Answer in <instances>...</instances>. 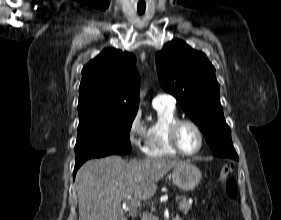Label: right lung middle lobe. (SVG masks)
<instances>
[{"label":"right lung middle lobe","mask_w":281,"mask_h":220,"mask_svg":"<svg viewBox=\"0 0 281 220\" xmlns=\"http://www.w3.org/2000/svg\"><path fill=\"white\" fill-rule=\"evenodd\" d=\"M136 114L96 115L79 119L76 163L131 152L130 129Z\"/></svg>","instance_id":"dd1d6c3e"}]
</instances>
